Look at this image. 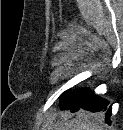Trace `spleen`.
<instances>
[{
    "label": "spleen",
    "instance_id": "spleen-1",
    "mask_svg": "<svg viewBox=\"0 0 123 130\" xmlns=\"http://www.w3.org/2000/svg\"><path fill=\"white\" fill-rule=\"evenodd\" d=\"M63 130H103L102 123L93 119L90 114L81 112L79 116L66 123Z\"/></svg>",
    "mask_w": 123,
    "mask_h": 130
}]
</instances>
